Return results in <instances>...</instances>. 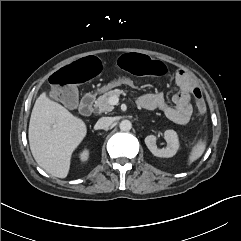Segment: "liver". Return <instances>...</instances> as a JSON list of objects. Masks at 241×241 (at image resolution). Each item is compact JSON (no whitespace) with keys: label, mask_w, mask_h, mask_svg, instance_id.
<instances>
[{"label":"liver","mask_w":241,"mask_h":241,"mask_svg":"<svg viewBox=\"0 0 241 241\" xmlns=\"http://www.w3.org/2000/svg\"><path fill=\"white\" fill-rule=\"evenodd\" d=\"M87 133L84 121L43 92L36 100L29 122V144L37 164L47 173L66 178L73 151Z\"/></svg>","instance_id":"6515ba94"}]
</instances>
